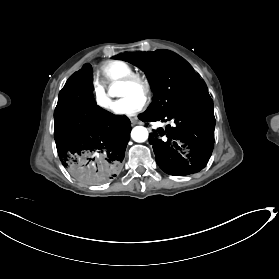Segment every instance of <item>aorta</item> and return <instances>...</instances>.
Segmentation results:
<instances>
[{
    "instance_id": "762f6f07",
    "label": "aorta",
    "mask_w": 279,
    "mask_h": 279,
    "mask_svg": "<svg viewBox=\"0 0 279 279\" xmlns=\"http://www.w3.org/2000/svg\"><path fill=\"white\" fill-rule=\"evenodd\" d=\"M123 86L120 82L113 84L108 91L110 97L121 96ZM148 130L143 126H136L131 131V137L135 142H145L148 139Z\"/></svg>"
}]
</instances>
